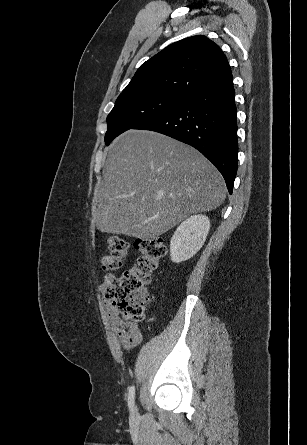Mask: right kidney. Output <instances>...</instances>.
Segmentation results:
<instances>
[{"label":"right kidney","instance_id":"right-kidney-1","mask_svg":"<svg viewBox=\"0 0 307 445\" xmlns=\"http://www.w3.org/2000/svg\"><path fill=\"white\" fill-rule=\"evenodd\" d=\"M210 229V220L205 214H194L177 227L170 243L173 263L188 261L200 251Z\"/></svg>","mask_w":307,"mask_h":445}]
</instances>
